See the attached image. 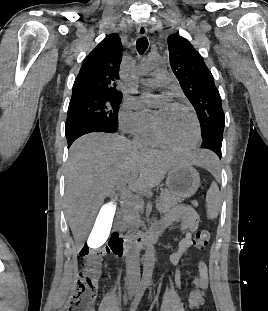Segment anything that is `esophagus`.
I'll use <instances>...</instances> for the list:
<instances>
[{"mask_svg":"<svg viewBox=\"0 0 268 311\" xmlns=\"http://www.w3.org/2000/svg\"><path fill=\"white\" fill-rule=\"evenodd\" d=\"M137 33L139 37H144L147 33V28L145 26V24H139L138 28H137Z\"/></svg>","mask_w":268,"mask_h":311,"instance_id":"obj_1","label":"esophagus"}]
</instances>
